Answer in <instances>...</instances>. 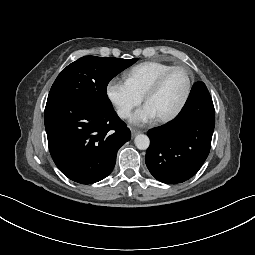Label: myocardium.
Wrapping results in <instances>:
<instances>
[{"mask_svg": "<svg viewBox=\"0 0 255 255\" xmlns=\"http://www.w3.org/2000/svg\"><path fill=\"white\" fill-rule=\"evenodd\" d=\"M176 70H182L186 73L187 76V88L186 91L184 93V96L182 98V100L180 101V103L178 104V106L169 114L164 115V116H160L158 117V120L161 122H167L170 121L172 119H174L184 108V106L186 105L190 94H191V90H192V75L190 73V71L184 67V66H173L171 68H169L168 70H166L165 72H163L156 80L155 82L149 87V89L146 91L145 95H144V100L147 103V101L149 100V98L151 96H153L155 93H157L162 85L164 84L165 80L167 79V77L174 71Z\"/></svg>", "mask_w": 255, "mask_h": 255, "instance_id": "f54148a6", "label": "myocardium"}]
</instances>
